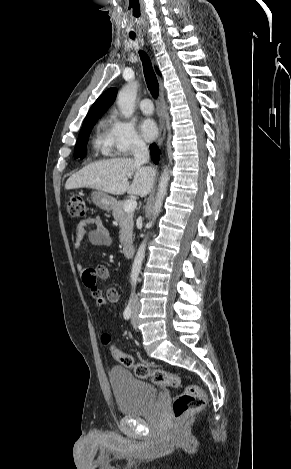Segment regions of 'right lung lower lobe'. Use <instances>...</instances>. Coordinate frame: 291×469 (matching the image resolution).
Returning <instances> with one entry per match:
<instances>
[{"mask_svg":"<svg viewBox=\"0 0 291 469\" xmlns=\"http://www.w3.org/2000/svg\"><path fill=\"white\" fill-rule=\"evenodd\" d=\"M150 152H151V156H152V159L153 161L157 164L158 163V160H159V150H158V147L155 145V144H152L150 146Z\"/></svg>","mask_w":291,"mask_h":469,"instance_id":"1","label":"right lung lower lobe"}]
</instances>
